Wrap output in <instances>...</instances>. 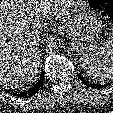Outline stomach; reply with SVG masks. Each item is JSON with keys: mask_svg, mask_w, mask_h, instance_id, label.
Listing matches in <instances>:
<instances>
[{"mask_svg": "<svg viewBox=\"0 0 113 113\" xmlns=\"http://www.w3.org/2000/svg\"><path fill=\"white\" fill-rule=\"evenodd\" d=\"M70 12L62 26L80 53L94 51L102 32V21L86 0H69Z\"/></svg>", "mask_w": 113, "mask_h": 113, "instance_id": "obj_1", "label": "stomach"}]
</instances>
